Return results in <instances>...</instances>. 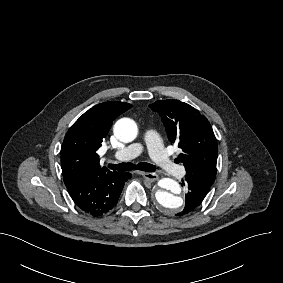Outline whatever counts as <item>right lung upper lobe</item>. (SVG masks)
Listing matches in <instances>:
<instances>
[{"label":"right lung upper lobe","instance_id":"right-lung-upper-lobe-1","mask_svg":"<svg viewBox=\"0 0 283 283\" xmlns=\"http://www.w3.org/2000/svg\"><path fill=\"white\" fill-rule=\"evenodd\" d=\"M132 107L125 102H105L94 106L78 118L65 135L61 149L64 182L86 174H102L97 150L113 120Z\"/></svg>","mask_w":283,"mask_h":283}]
</instances>
